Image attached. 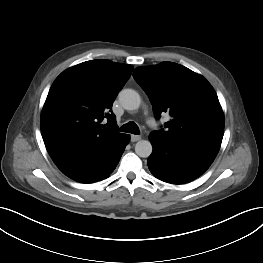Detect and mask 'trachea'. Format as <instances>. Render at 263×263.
Here are the masks:
<instances>
[{
  "mask_svg": "<svg viewBox=\"0 0 263 263\" xmlns=\"http://www.w3.org/2000/svg\"><path fill=\"white\" fill-rule=\"evenodd\" d=\"M120 131L135 134V135L139 134V128H138L137 124L133 121H130V122L124 124L121 127Z\"/></svg>",
  "mask_w": 263,
  "mask_h": 263,
  "instance_id": "trachea-1",
  "label": "trachea"
}]
</instances>
